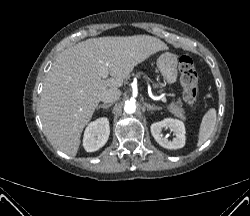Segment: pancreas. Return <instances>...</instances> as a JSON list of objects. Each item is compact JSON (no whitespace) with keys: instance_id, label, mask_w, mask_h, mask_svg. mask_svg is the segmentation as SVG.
<instances>
[{"instance_id":"cf45deb5","label":"pancreas","mask_w":250,"mask_h":216,"mask_svg":"<svg viewBox=\"0 0 250 216\" xmlns=\"http://www.w3.org/2000/svg\"><path fill=\"white\" fill-rule=\"evenodd\" d=\"M154 87H156V85H154ZM168 109L175 117H178L182 120L186 119V117L184 116L185 111L180 101H177L176 103L169 105Z\"/></svg>"}]
</instances>
